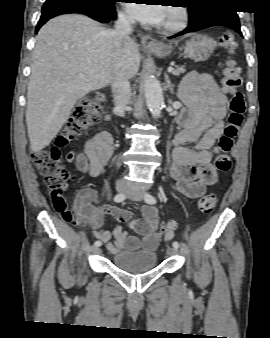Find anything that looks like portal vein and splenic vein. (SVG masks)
Wrapping results in <instances>:
<instances>
[{
  "instance_id": "18ae733b",
  "label": "portal vein and splenic vein",
  "mask_w": 270,
  "mask_h": 338,
  "mask_svg": "<svg viewBox=\"0 0 270 338\" xmlns=\"http://www.w3.org/2000/svg\"><path fill=\"white\" fill-rule=\"evenodd\" d=\"M167 71L170 73L173 71V67H168ZM79 77H83V74H79Z\"/></svg>"
}]
</instances>
